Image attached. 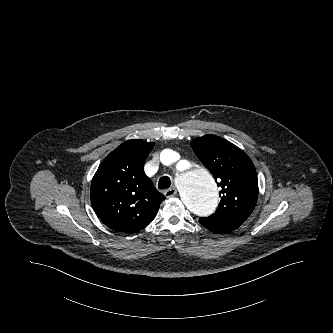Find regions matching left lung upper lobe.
Here are the masks:
<instances>
[{
  "instance_id": "obj_1",
  "label": "left lung upper lobe",
  "mask_w": 333,
  "mask_h": 333,
  "mask_svg": "<svg viewBox=\"0 0 333 333\" xmlns=\"http://www.w3.org/2000/svg\"><path fill=\"white\" fill-rule=\"evenodd\" d=\"M191 146L221 187L216 212L199 222L214 232L235 230L250 216L257 202L258 179L253 162L244 151L216 135L196 138Z\"/></svg>"
}]
</instances>
